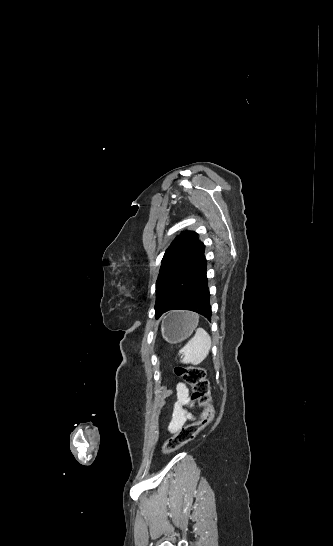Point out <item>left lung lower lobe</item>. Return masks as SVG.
<instances>
[{"mask_svg":"<svg viewBox=\"0 0 333 546\" xmlns=\"http://www.w3.org/2000/svg\"><path fill=\"white\" fill-rule=\"evenodd\" d=\"M204 249L170 285L159 316L169 310H190L211 320L210 291Z\"/></svg>","mask_w":333,"mask_h":546,"instance_id":"obj_1","label":"left lung lower lobe"}]
</instances>
